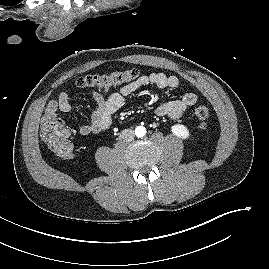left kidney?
Returning <instances> with one entry per match:
<instances>
[{
	"instance_id": "obj_1",
	"label": "left kidney",
	"mask_w": 269,
	"mask_h": 269,
	"mask_svg": "<svg viewBox=\"0 0 269 269\" xmlns=\"http://www.w3.org/2000/svg\"><path fill=\"white\" fill-rule=\"evenodd\" d=\"M171 131L174 135L182 139H188L190 137V132L186 126L182 124H175L171 127Z\"/></svg>"
}]
</instances>
